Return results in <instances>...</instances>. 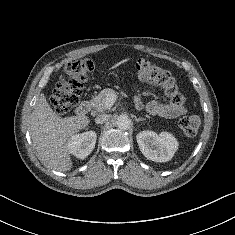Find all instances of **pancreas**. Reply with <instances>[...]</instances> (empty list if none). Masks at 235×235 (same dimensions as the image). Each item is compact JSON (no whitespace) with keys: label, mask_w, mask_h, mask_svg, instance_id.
<instances>
[{"label":"pancreas","mask_w":235,"mask_h":235,"mask_svg":"<svg viewBox=\"0 0 235 235\" xmlns=\"http://www.w3.org/2000/svg\"><path fill=\"white\" fill-rule=\"evenodd\" d=\"M111 94H116V92L110 88L103 89L97 96H95L91 100V104H92L93 108L99 112H102L106 109H110L106 105V98Z\"/></svg>","instance_id":"pancreas-1"}]
</instances>
